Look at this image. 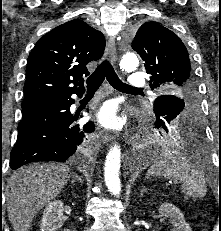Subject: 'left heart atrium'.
Returning <instances> with one entry per match:
<instances>
[{"mask_svg":"<svg viewBox=\"0 0 221 231\" xmlns=\"http://www.w3.org/2000/svg\"><path fill=\"white\" fill-rule=\"evenodd\" d=\"M98 118L101 124L109 128L117 127L121 122L117 117L115 105L112 103H106L101 108Z\"/></svg>","mask_w":221,"mask_h":231,"instance_id":"39dd6f15","label":"left heart atrium"}]
</instances>
